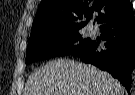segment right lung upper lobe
<instances>
[{
  "mask_svg": "<svg viewBox=\"0 0 135 95\" xmlns=\"http://www.w3.org/2000/svg\"><path fill=\"white\" fill-rule=\"evenodd\" d=\"M129 0H42L31 34L77 31L87 25L94 12L96 21L119 20L132 14ZM86 18V21L81 19Z\"/></svg>",
  "mask_w": 135,
  "mask_h": 95,
  "instance_id": "1",
  "label": "right lung upper lobe"
}]
</instances>
